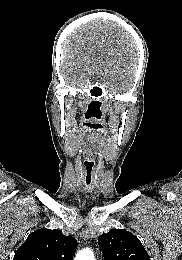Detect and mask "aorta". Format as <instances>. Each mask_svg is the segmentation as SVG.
<instances>
[{
	"label": "aorta",
	"mask_w": 182,
	"mask_h": 260,
	"mask_svg": "<svg viewBox=\"0 0 182 260\" xmlns=\"http://www.w3.org/2000/svg\"><path fill=\"white\" fill-rule=\"evenodd\" d=\"M74 260H95V257L91 249L85 248L76 254Z\"/></svg>",
	"instance_id": "762f6f07"
}]
</instances>
